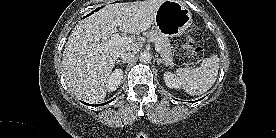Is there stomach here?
Wrapping results in <instances>:
<instances>
[{"label":"stomach","instance_id":"1","mask_svg":"<svg viewBox=\"0 0 276 138\" xmlns=\"http://www.w3.org/2000/svg\"><path fill=\"white\" fill-rule=\"evenodd\" d=\"M191 24V12L177 0H164L158 7L153 22L155 30L167 37L181 35Z\"/></svg>","mask_w":276,"mask_h":138}]
</instances>
